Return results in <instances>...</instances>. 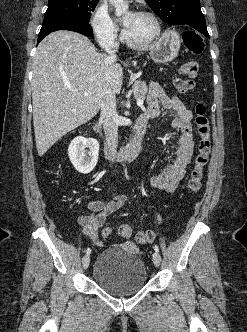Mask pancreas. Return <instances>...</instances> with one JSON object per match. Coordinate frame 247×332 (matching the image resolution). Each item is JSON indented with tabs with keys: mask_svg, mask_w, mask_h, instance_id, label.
<instances>
[{
	"mask_svg": "<svg viewBox=\"0 0 247 332\" xmlns=\"http://www.w3.org/2000/svg\"><path fill=\"white\" fill-rule=\"evenodd\" d=\"M148 93V87L145 82L136 81L133 84V94L134 97L138 99H145Z\"/></svg>",
	"mask_w": 247,
	"mask_h": 332,
	"instance_id": "1",
	"label": "pancreas"
}]
</instances>
